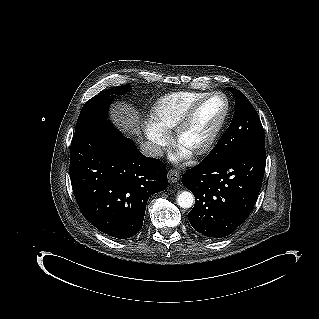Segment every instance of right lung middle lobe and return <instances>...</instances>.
<instances>
[{"instance_id":"right-lung-middle-lobe-1","label":"right lung middle lobe","mask_w":319,"mask_h":319,"mask_svg":"<svg viewBox=\"0 0 319 319\" xmlns=\"http://www.w3.org/2000/svg\"><path fill=\"white\" fill-rule=\"evenodd\" d=\"M130 86H117L115 89L104 90L88 100L83 106L77 120L75 131L107 118V109L113 94H125Z\"/></svg>"}]
</instances>
